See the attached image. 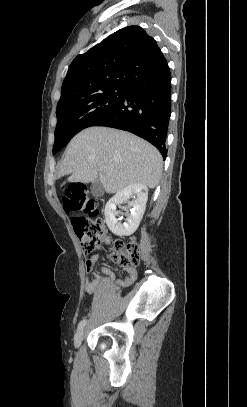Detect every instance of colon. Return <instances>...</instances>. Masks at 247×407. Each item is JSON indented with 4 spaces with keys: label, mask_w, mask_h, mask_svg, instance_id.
Wrapping results in <instances>:
<instances>
[{
    "label": "colon",
    "mask_w": 247,
    "mask_h": 407,
    "mask_svg": "<svg viewBox=\"0 0 247 407\" xmlns=\"http://www.w3.org/2000/svg\"><path fill=\"white\" fill-rule=\"evenodd\" d=\"M62 204L69 214L84 213L88 216H75L72 219L73 229L79 239L81 249L90 254L105 238L106 229L98 215L97 202L86 187L79 184L67 186L63 191ZM113 261L122 268L136 265L140 260V249L135 241L124 243L116 240L113 243Z\"/></svg>",
    "instance_id": "1"
}]
</instances>
